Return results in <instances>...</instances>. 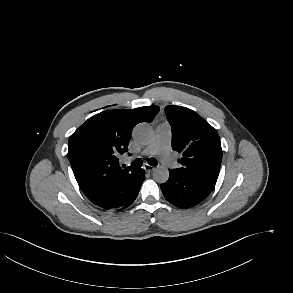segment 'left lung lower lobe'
I'll return each mask as SVG.
<instances>
[{
    "label": "left lung lower lobe",
    "mask_w": 293,
    "mask_h": 293,
    "mask_svg": "<svg viewBox=\"0 0 293 293\" xmlns=\"http://www.w3.org/2000/svg\"><path fill=\"white\" fill-rule=\"evenodd\" d=\"M169 179L162 184L164 197L179 208H188L202 202L213 190L215 182L202 178L190 177L180 171L169 170Z\"/></svg>",
    "instance_id": "1"
}]
</instances>
